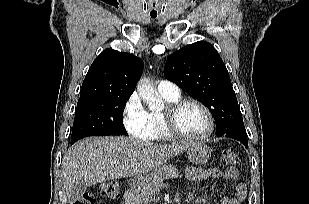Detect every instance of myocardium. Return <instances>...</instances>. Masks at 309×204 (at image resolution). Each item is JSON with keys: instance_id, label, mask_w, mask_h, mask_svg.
<instances>
[{"instance_id": "myocardium-1", "label": "myocardium", "mask_w": 309, "mask_h": 204, "mask_svg": "<svg viewBox=\"0 0 309 204\" xmlns=\"http://www.w3.org/2000/svg\"><path fill=\"white\" fill-rule=\"evenodd\" d=\"M187 104H195L200 107L208 119V129L200 136H190L179 130L177 116L180 110ZM164 124L171 138L187 142H200L208 139L215 130V120L210 109L201 101L194 98H181L169 104L163 112Z\"/></svg>"}]
</instances>
